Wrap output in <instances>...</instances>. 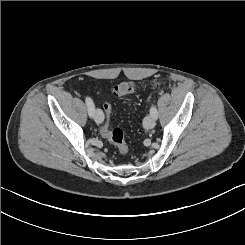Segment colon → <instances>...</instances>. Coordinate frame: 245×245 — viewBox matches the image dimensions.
<instances>
[{
    "label": "colon",
    "instance_id": "5ec220e1",
    "mask_svg": "<svg viewBox=\"0 0 245 245\" xmlns=\"http://www.w3.org/2000/svg\"><path fill=\"white\" fill-rule=\"evenodd\" d=\"M137 90V85L131 80L123 79L113 89V94L117 97H124L133 94ZM104 110L106 120L100 126L101 135L113 144L122 155L127 154L128 147L125 143L123 131L119 128L111 129L109 125V116L111 113V105L105 104Z\"/></svg>",
    "mask_w": 245,
    "mask_h": 245
}]
</instances>
